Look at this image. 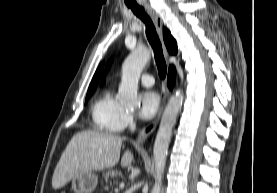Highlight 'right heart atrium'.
<instances>
[{"label": "right heart atrium", "instance_id": "right-heart-atrium-1", "mask_svg": "<svg viewBox=\"0 0 277 193\" xmlns=\"http://www.w3.org/2000/svg\"><path fill=\"white\" fill-rule=\"evenodd\" d=\"M134 124V116L132 112L125 110L122 120L123 128L131 127Z\"/></svg>", "mask_w": 277, "mask_h": 193}]
</instances>
